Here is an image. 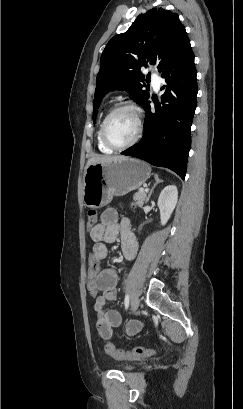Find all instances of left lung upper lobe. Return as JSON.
Here are the masks:
<instances>
[{
	"mask_svg": "<svg viewBox=\"0 0 243 409\" xmlns=\"http://www.w3.org/2000/svg\"><path fill=\"white\" fill-rule=\"evenodd\" d=\"M188 40L178 15L162 8L140 14L125 33L114 36L100 59L93 121L104 95L113 89L126 90L143 107L149 90L140 68L155 65L162 73Z\"/></svg>",
	"mask_w": 243,
	"mask_h": 409,
	"instance_id": "obj_1",
	"label": "left lung upper lobe"
}]
</instances>
